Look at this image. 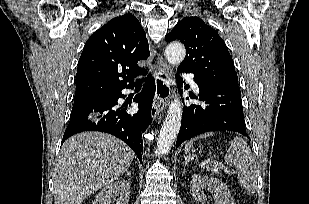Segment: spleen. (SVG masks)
I'll return each instance as SVG.
<instances>
[{
	"mask_svg": "<svg viewBox=\"0 0 309 204\" xmlns=\"http://www.w3.org/2000/svg\"><path fill=\"white\" fill-rule=\"evenodd\" d=\"M213 133H205L193 139V141L212 136ZM225 162L236 168L239 183L249 192L255 193L257 190L258 170L255 158L250 147L241 137H234L229 150L225 155Z\"/></svg>",
	"mask_w": 309,
	"mask_h": 204,
	"instance_id": "1",
	"label": "spleen"
}]
</instances>
